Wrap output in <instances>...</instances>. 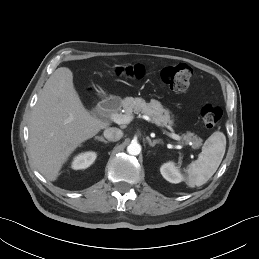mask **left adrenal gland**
Here are the masks:
<instances>
[{"label":"left adrenal gland","instance_id":"a2214340","mask_svg":"<svg viewBox=\"0 0 259 259\" xmlns=\"http://www.w3.org/2000/svg\"><path fill=\"white\" fill-rule=\"evenodd\" d=\"M147 141H148L149 146H151V147H154L156 144L162 143L160 140H153L152 141L150 138H147Z\"/></svg>","mask_w":259,"mask_h":259}]
</instances>
